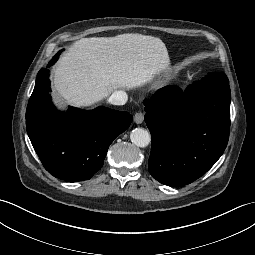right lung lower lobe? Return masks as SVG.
I'll return each mask as SVG.
<instances>
[{"label":"right lung lower lobe","mask_w":255,"mask_h":255,"mask_svg":"<svg viewBox=\"0 0 255 255\" xmlns=\"http://www.w3.org/2000/svg\"><path fill=\"white\" fill-rule=\"evenodd\" d=\"M49 85V70L41 69L26 111L28 136L51 175L67 182L88 180L101 169L110 144L128 129L133 116L105 107L59 112Z\"/></svg>","instance_id":"obj_1"}]
</instances>
